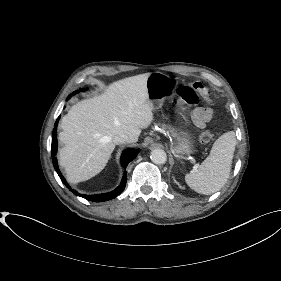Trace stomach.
I'll list each match as a JSON object with an SVG mask.
<instances>
[{
	"mask_svg": "<svg viewBox=\"0 0 281 281\" xmlns=\"http://www.w3.org/2000/svg\"><path fill=\"white\" fill-rule=\"evenodd\" d=\"M175 86L173 79L164 73H150L147 80L148 103L152 110L159 109L164 100L171 95L172 89ZM191 148V136L182 132L178 137L176 151L181 154L189 152Z\"/></svg>",
	"mask_w": 281,
	"mask_h": 281,
	"instance_id": "obj_1",
	"label": "stomach"
}]
</instances>
